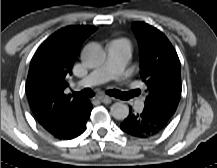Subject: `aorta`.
<instances>
[{
  "mask_svg": "<svg viewBox=\"0 0 217 168\" xmlns=\"http://www.w3.org/2000/svg\"><path fill=\"white\" fill-rule=\"evenodd\" d=\"M105 59V52L98 44H89L83 49L82 60L90 68L101 66ZM110 113L115 119L124 120L129 115V108L122 102H116L111 106Z\"/></svg>",
  "mask_w": 217,
  "mask_h": 168,
  "instance_id": "obj_1",
  "label": "aorta"
}]
</instances>
